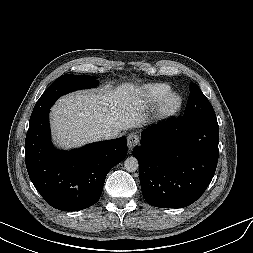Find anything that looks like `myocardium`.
Returning <instances> with one entry per match:
<instances>
[{
    "label": "myocardium",
    "mask_w": 253,
    "mask_h": 253,
    "mask_svg": "<svg viewBox=\"0 0 253 253\" xmlns=\"http://www.w3.org/2000/svg\"><path fill=\"white\" fill-rule=\"evenodd\" d=\"M183 98L176 92H170L163 97L157 108V115L160 118L174 116L182 107Z\"/></svg>",
    "instance_id": "obj_1"
}]
</instances>
